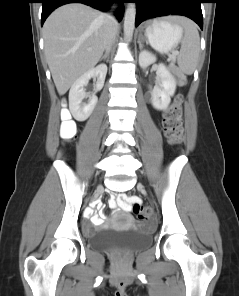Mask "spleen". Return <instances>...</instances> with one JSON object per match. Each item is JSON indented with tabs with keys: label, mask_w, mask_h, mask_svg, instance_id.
Returning a JSON list of instances; mask_svg holds the SVG:
<instances>
[{
	"label": "spleen",
	"mask_w": 239,
	"mask_h": 296,
	"mask_svg": "<svg viewBox=\"0 0 239 296\" xmlns=\"http://www.w3.org/2000/svg\"><path fill=\"white\" fill-rule=\"evenodd\" d=\"M169 20L181 25L184 29V37L178 55V66L183 73L191 75L195 70L200 50L198 30L190 21L178 17H171Z\"/></svg>",
	"instance_id": "3e777b00"
}]
</instances>
